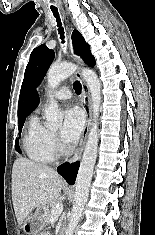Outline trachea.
Wrapping results in <instances>:
<instances>
[{"label":"trachea","mask_w":155,"mask_h":235,"mask_svg":"<svg viewBox=\"0 0 155 235\" xmlns=\"http://www.w3.org/2000/svg\"><path fill=\"white\" fill-rule=\"evenodd\" d=\"M51 11L53 12L54 17L56 18L60 39L62 40V43H65V41H64V38H65L64 29L62 27V22H61V19H60L58 9L54 8V7H51ZM73 85H74L75 92L77 94H80L81 93V84H80V82L78 80H76Z\"/></svg>","instance_id":"3493384b"}]
</instances>
